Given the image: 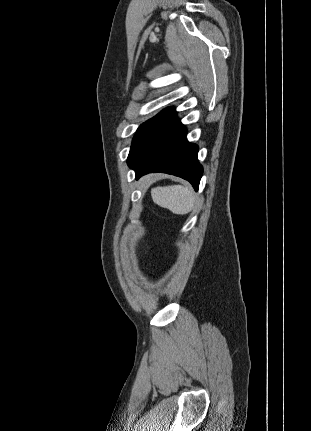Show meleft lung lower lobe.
Listing matches in <instances>:
<instances>
[{
    "instance_id": "obj_1",
    "label": "left lung lower lobe",
    "mask_w": 311,
    "mask_h": 431,
    "mask_svg": "<svg viewBox=\"0 0 311 431\" xmlns=\"http://www.w3.org/2000/svg\"><path fill=\"white\" fill-rule=\"evenodd\" d=\"M187 130L169 107L151 118L132 143L127 164L136 178L163 172L188 180L198 190L203 168L197 159L198 146L186 139Z\"/></svg>"
}]
</instances>
